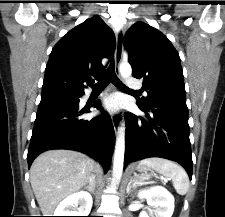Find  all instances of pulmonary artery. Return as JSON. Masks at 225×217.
Returning a JSON list of instances; mask_svg holds the SVG:
<instances>
[{
	"instance_id": "1",
	"label": "pulmonary artery",
	"mask_w": 225,
	"mask_h": 217,
	"mask_svg": "<svg viewBox=\"0 0 225 217\" xmlns=\"http://www.w3.org/2000/svg\"><path fill=\"white\" fill-rule=\"evenodd\" d=\"M128 85L132 89H140L141 88V85L133 80H129Z\"/></svg>"
}]
</instances>
